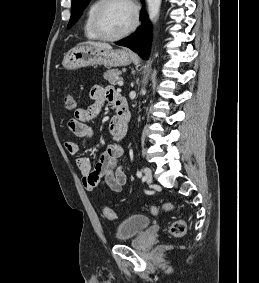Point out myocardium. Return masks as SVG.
Listing matches in <instances>:
<instances>
[{"label": "myocardium", "instance_id": "myocardium-1", "mask_svg": "<svg viewBox=\"0 0 259 283\" xmlns=\"http://www.w3.org/2000/svg\"><path fill=\"white\" fill-rule=\"evenodd\" d=\"M112 1L114 0H100V3L97 5L93 13V18H92V28H93L94 33L97 35L99 39H102L105 41H116V40H119V39H122L128 36L136 29L139 23V13H138L137 6L132 0H125L127 3L131 5L132 10H133V20L130 26L126 30H124L123 32L117 35H106L105 33H103L100 27V14L102 10L104 9V7Z\"/></svg>", "mask_w": 259, "mask_h": 283}]
</instances>
